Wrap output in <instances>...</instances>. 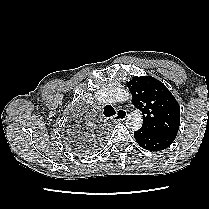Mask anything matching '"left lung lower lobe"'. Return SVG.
Here are the masks:
<instances>
[{"label":"left lung lower lobe","mask_w":209,"mask_h":209,"mask_svg":"<svg viewBox=\"0 0 209 209\" xmlns=\"http://www.w3.org/2000/svg\"><path fill=\"white\" fill-rule=\"evenodd\" d=\"M134 137L142 148L155 152L166 149L175 140V138L154 134L143 129L135 131Z\"/></svg>","instance_id":"1"}]
</instances>
